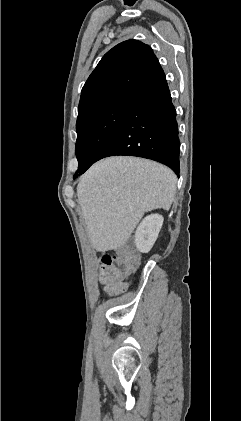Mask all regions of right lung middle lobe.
Returning <instances> with one entry per match:
<instances>
[{
    "label": "right lung middle lobe",
    "mask_w": 241,
    "mask_h": 421,
    "mask_svg": "<svg viewBox=\"0 0 241 421\" xmlns=\"http://www.w3.org/2000/svg\"><path fill=\"white\" fill-rule=\"evenodd\" d=\"M130 101L116 102L77 119L76 157L78 170L89 168L120 126Z\"/></svg>",
    "instance_id": "1"
}]
</instances>
